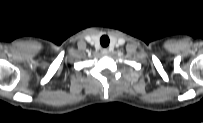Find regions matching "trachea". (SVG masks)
<instances>
[{
	"label": "trachea",
	"instance_id": "trachea-1",
	"mask_svg": "<svg viewBox=\"0 0 203 123\" xmlns=\"http://www.w3.org/2000/svg\"><path fill=\"white\" fill-rule=\"evenodd\" d=\"M109 37L106 36V35H103L101 38H100V43L103 47H107L109 45Z\"/></svg>",
	"mask_w": 203,
	"mask_h": 123
}]
</instances>
